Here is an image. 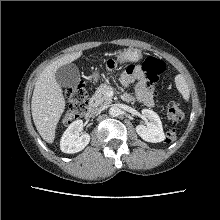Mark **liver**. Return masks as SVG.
<instances>
[{"instance_id":"liver-1","label":"liver","mask_w":220,"mask_h":220,"mask_svg":"<svg viewBox=\"0 0 220 220\" xmlns=\"http://www.w3.org/2000/svg\"><path fill=\"white\" fill-rule=\"evenodd\" d=\"M82 52H74L57 59L39 75L32 95L31 111L34 124L47 143H53L55 130L65 110V98L55 78L57 69L81 57Z\"/></svg>"}]
</instances>
